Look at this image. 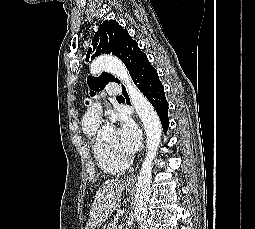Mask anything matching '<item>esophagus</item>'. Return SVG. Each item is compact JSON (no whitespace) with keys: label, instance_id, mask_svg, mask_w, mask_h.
Here are the masks:
<instances>
[{"label":"esophagus","instance_id":"34e87169","mask_svg":"<svg viewBox=\"0 0 255 229\" xmlns=\"http://www.w3.org/2000/svg\"><path fill=\"white\" fill-rule=\"evenodd\" d=\"M135 181H136V175L133 174V175H130V176H128V177L126 178L125 184H126V185H132V184L135 183Z\"/></svg>","mask_w":255,"mask_h":229}]
</instances>
